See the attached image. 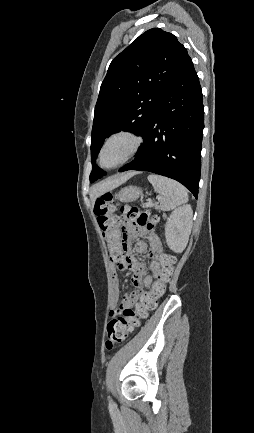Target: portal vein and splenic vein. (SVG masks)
Instances as JSON below:
<instances>
[{"mask_svg": "<svg viewBox=\"0 0 254 433\" xmlns=\"http://www.w3.org/2000/svg\"><path fill=\"white\" fill-rule=\"evenodd\" d=\"M158 199H160V198H158ZM152 205H153V203L151 201L147 204V206H149V207H151Z\"/></svg>", "mask_w": 254, "mask_h": 433, "instance_id": "1", "label": "portal vein and splenic vein"}]
</instances>
